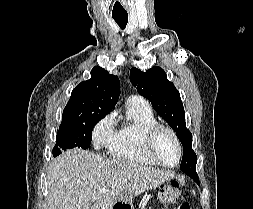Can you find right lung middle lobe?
<instances>
[{"instance_id": "1", "label": "right lung middle lobe", "mask_w": 253, "mask_h": 209, "mask_svg": "<svg viewBox=\"0 0 253 209\" xmlns=\"http://www.w3.org/2000/svg\"><path fill=\"white\" fill-rule=\"evenodd\" d=\"M104 117L103 114L90 113L81 117L61 122L56 136L53 156H58L62 150L81 147L87 149L92 140L93 127Z\"/></svg>"}]
</instances>
